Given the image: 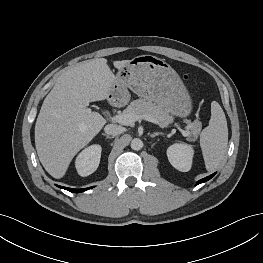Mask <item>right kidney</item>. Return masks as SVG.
I'll use <instances>...</instances> for the list:
<instances>
[{"instance_id":"1","label":"right kidney","mask_w":263,"mask_h":263,"mask_svg":"<svg viewBox=\"0 0 263 263\" xmlns=\"http://www.w3.org/2000/svg\"><path fill=\"white\" fill-rule=\"evenodd\" d=\"M102 148L100 145H91L85 148L76 158L75 166L80 176L86 177L99 166Z\"/></svg>"}]
</instances>
